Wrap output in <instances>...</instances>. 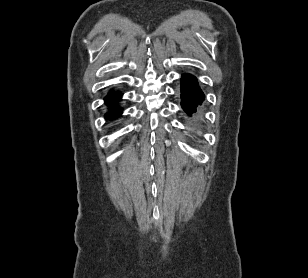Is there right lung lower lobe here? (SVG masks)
Wrapping results in <instances>:
<instances>
[{
	"label": "right lung lower lobe",
	"mask_w": 308,
	"mask_h": 278,
	"mask_svg": "<svg viewBox=\"0 0 308 278\" xmlns=\"http://www.w3.org/2000/svg\"><path fill=\"white\" fill-rule=\"evenodd\" d=\"M121 96L122 93L111 91L105 97V104L109 107V112L105 115L106 119H116L122 113V110L117 106Z\"/></svg>",
	"instance_id": "1"
}]
</instances>
